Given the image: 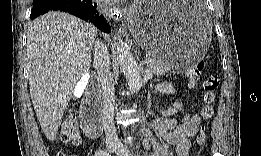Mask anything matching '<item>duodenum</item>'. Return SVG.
<instances>
[{"label": "duodenum", "mask_w": 261, "mask_h": 156, "mask_svg": "<svg viewBox=\"0 0 261 156\" xmlns=\"http://www.w3.org/2000/svg\"><path fill=\"white\" fill-rule=\"evenodd\" d=\"M81 119L87 124L97 123L102 126L100 91L95 81L91 82V89L87 98L82 103Z\"/></svg>", "instance_id": "duodenum-1"}]
</instances>
